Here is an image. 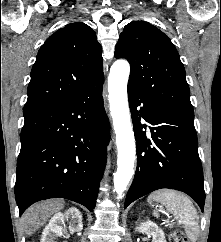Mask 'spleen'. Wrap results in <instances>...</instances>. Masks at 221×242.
<instances>
[{
  "label": "spleen",
  "mask_w": 221,
  "mask_h": 242,
  "mask_svg": "<svg viewBox=\"0 0 221 242\" xmlns=\"http://www.w3.org/2000/svg\"><path fill=\"white\" fill-rule=\"evenodd\" d=\"M148 201H156L164 205L175 219L184 225L186 235L192 242H196L199 236L198 214L192 201L183 193L175 190L164 189L151 193ZM153 214L158 216V211Z\"/></svg>",
  "instance_id": "spleen-1"
}]
</instances>
